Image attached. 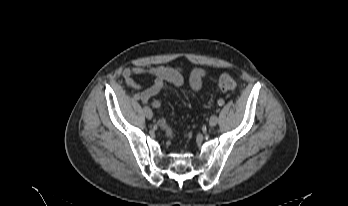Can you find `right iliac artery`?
I'll return each instance as SVG.
<instances>
[{
    "instance_id": "right-iliac-artery-1",
    "label": "right iliac artery",
    "mask_w": 348,
    "mask_h": 206,
    "mask_svg": "<svg viewBox=\"0 0 348 206\" xmlns=\"http://www.w3.org/2000/svg\"><path fill=\"white\" fill-rule=\"evenodd\" d=\"M140 97L138 95H135V99H139Z\"/></svg>"
}]
</instances>
